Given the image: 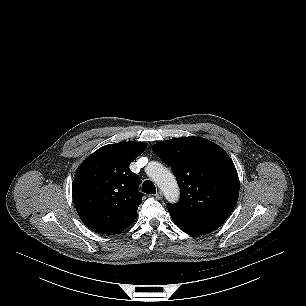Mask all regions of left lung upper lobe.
I'll return each instance as SVG.
<instances>
[{"label":"left lung upper lobe","mask_w":306,"mask_h":306,"mask_svg":"<svg viewBox=\"0 0 306 306\" xmlns=\"http://www.w3.org/2000/svg\"><path fill=\"white\" fill-rule=\"evenodd\" d=\"M152 149L171 167L180 187L179 201L168 205L171 216L194 226H220L239 196L238 174L228 154L201 137L171 139Z\"/></svg>","instance_id":"left-lung-upper-lobe-1"}]
</instances>
